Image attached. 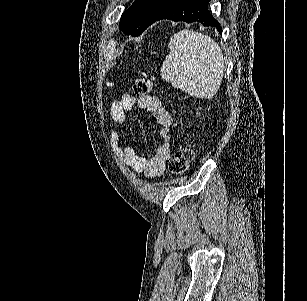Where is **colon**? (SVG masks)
I'll list each match as a JSON object with an SVG mask.
<instances>
[{"instance_id": "1", "label": "colon", "mask_w": 307, "mask_h": 301, "mask_svg": "<svg viewBox=\"0 0 307 301\" xmlns=\"http://www.w3.org/2000/svg\"><path fill=\"white\" fill-rule=\"evenodd\" d=\"M154 87V82L149 77H139L133 82V91L138 96L149 94ZM194 149L190 144L180 146L169 162V171L175 175L185 173L194 159Z\"/></svg>"}]
</instances>
